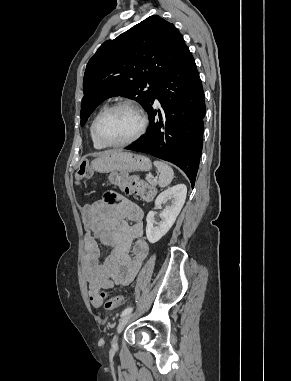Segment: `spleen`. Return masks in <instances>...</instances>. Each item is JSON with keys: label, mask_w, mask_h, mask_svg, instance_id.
Returning a JSON list of instances; mask_svg holds the SVG:
<instances>
[{"label": "spleen", "mask_w": 291, "mask_h": 381, "mask_svg": "<svg viewBox=\"0 0 291 381\" xmlns=\"http://www.w3.org/2000/svg\"><path fill=\"white\" fill-rule=\"evenodd\" d=\"M154 165L157 167L160 173L159 180H158L159 186L160 187L168 186L174 178L173 169L168 164L162 161H154Z\"/></svg>", "instance_id": "1"}]
</instances>
